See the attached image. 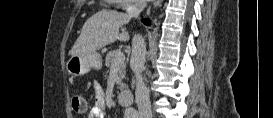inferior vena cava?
I'll list each match as a JSON object with an SVG mask.
<instances>
[{"label": "inferior vena cava", "mask_w": 273, "mask_h": 118, "mask_svg": "<svg viewBox=\"0 0 273 118\" xmlns=\"http://www.w3.org/2000/svg\"><path fill=\"white\" fill-rule=\"evenodd\" d=\"M145 7L143 0H137V2L127 9L129 17H138L140 12ZM146 56V45L144 39L140 35H135L132 40V54L130 59V65L136 76V90L135 101L138 106L139 114L141 118H151V105L149 99V91L144 83V79L141 75L144 68Z\"/></svg>", "instance_id": "inferior-vena-cava-1"}]
</instances>
